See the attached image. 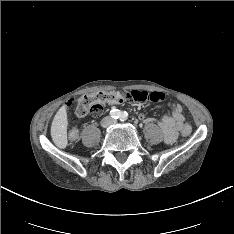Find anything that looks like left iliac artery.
I'll use <instances>...</instances> for the list:
<instances>
[{"label": "left iliac artery", "mask_w": 234, "mask_h": 234, "mask_svg": "<svg viewBox=\"0 0 234 234\" xmlns=\"http://www.w3.org/2000/svg\"><path fill=\"white\" fill-rule=\"evenodd\" d=\"M127 116H128V114L126 112H122L121 115H120V120L121 121L127 120Z\"/></svg>", "instance_id": "obj_1"}]
</instances>
